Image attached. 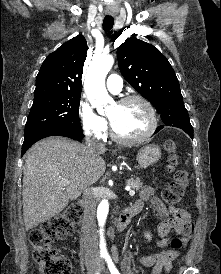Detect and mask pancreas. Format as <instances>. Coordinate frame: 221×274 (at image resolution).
Instances as JSON below:
<instances>
[{
    "mask_svg": "<svg viewBox=\"0 0 221 274\" xmlns=\"http://www.w3.org/2000/svg\"><path fill=\"white\" fill-rule=\"evenodd\" d=\"M127 185H129L131 188H133L135 191H139L142 187L143 183L139 178H131L126 181Z\"/></svg>",
    "mask_w": 221,
    "mask_h": 274,
    "instance_id": "1",
    "label": "pancreas"
}]
</instances>
